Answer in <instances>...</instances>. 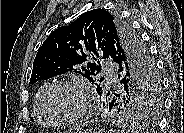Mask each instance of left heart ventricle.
Wrapping results in <instances>:
<instances>
[{"mask_svg": "<svg viewBox=\"0 0 184 133\" xmlns=\"http://www.w3.org/2000/svg\"><path fill=\"white\" fill-rule=\"evenodd\" d=\"M47 107L52 117L69 119L81 111L82 97L74 88L58 87L49 95Z\"/></svg>", "mask_w": 184, "mask_h": 133, "instance_id": "1", "label": "left heart ventricle"}]
</instances>
